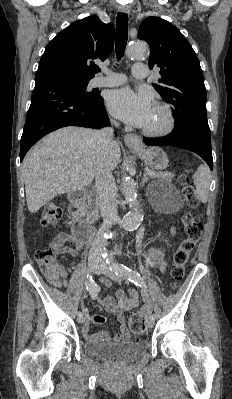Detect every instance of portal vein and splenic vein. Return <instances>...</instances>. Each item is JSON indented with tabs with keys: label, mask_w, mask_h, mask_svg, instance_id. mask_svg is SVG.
<instances>
[{
	"label": "portal vein and splenic vein",
	"mask_w": 232,
	"mask_h": 399,
	"mask_svg": "<svg viewBox=\"0 0 232 399\" xmlns=\"http://www.w3.org/2000/svg\"><path fill=\"white\" fill-rule=\"evenodd\" d=\"M147 174H150V176H155V172H152V170H146Z\"/></svg>",
	"instance_id": "18ae733b"
}]
</instances>
